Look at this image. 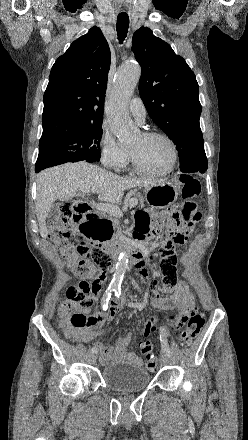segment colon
I'll use <instances>...</instances> for the list:
<instances>
[{
	"mask_svg": "<svg viewBox=\"0 0 248 440\" xmlns=\"http://www.w3.org/2000/svg\"><path fill=\"white\" fill-rule=\"evenodd\" d=\"M182 184V197L184 199L180 213L184 220V226L193 227L201 220L197 205L193 201L200 193V183L188 175L179 178ZM78 228H85L84 214L78 205H63L55 218L50 222V238L61 251L68 262L71 271L79 277V281L69 286L66 291L64 303L73 308H89L96 298L98 289L97 274L103 267H109V256L99 246L92 245L87 241H79L74 245L71 237ZM187 232L183 229L173 228L168 237L157 240V246L161 257H177L175 247L183 244ZM98 275L93 278V276ZM162 279V278H161ZM168 322L173 326L177 323L186 322L185 329L180 333V342L189 346L202 330L205 320L197 311H189L185 315L173 314L168 316ZM75 327H84L90 323L89 318L82 312H74L70 318ZM155 329L154 320L148 321L143 328L145 336ZM141 351L145 358V364L152 369L156 366L157 359L153 354V346L150 341L141 344Z\"/></svg>",
	"mask_w": 248,
	"mask_h": 440,
	"instance_id": "colon-1",
	"label": "colon"
}]
</instances>
